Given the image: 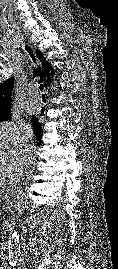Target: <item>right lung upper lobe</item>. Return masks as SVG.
<instances>
[{
  "label": "right lung upper lobe",
  "instance_id": "cb5924a9",
  "mask_svg": "<svg viewBox=\"0 0 118 269\" xmlns=\"http://www.w3.org/2000/svg\"><path fill=\"white\" fill-rule=\"evenodd\" d=\"M36 56L39 61V66L34 69V76H40L41 82L44 83V85L50 84L51 76H53L54 68L50 63H48L45 58L43 57L42 53L39 50H36ZM14 87V79L10 78L3 83L0 84V107L5 105H10L11 103V95L12 90ZM44 111V108L41 110V112ZM32 123L35 130L36 135L42 134V127L41 123L38 122L37 118L35 116L32 117Z\"/></svg>",
  "mask_w": 118,
  "mask_h": 269
}]
</instances>
